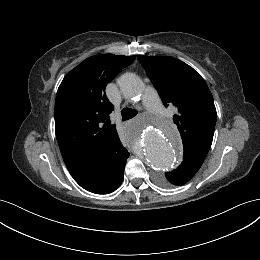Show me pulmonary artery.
<instances>
[{"label":"pulmonary artery","mask_w":260,"mask_h":260,"mask_svg":"<svg viewBox=\"0 0 260 260\" xmlns=\"http://www.w3.org/2000/svg\"><path fill=\"white\" fill-rule=\"evenodd\" d=\"M143 104L150 112H163L162 104L151 87H148L143 94Z\"/></svg>","instance_id":"obj_1"}]
</instances>
